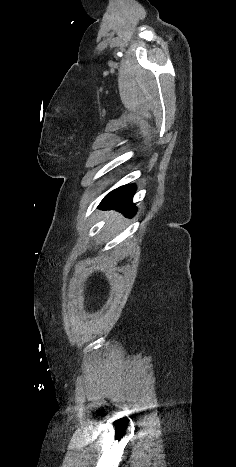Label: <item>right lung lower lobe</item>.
I'll return each instance as SVG.
<instances>
[{"instance_id": "right-lung-lower-lobe-1", "label": "right lung lower lobe", "mask_w": 236, "mask_h": 467, "mask_svg": "<svg viewBox=\"0 0 236 467\" xmlns=\"http://www.w3.org/2000/svg\"><path fill=\"white\" fill-rule=\"evenodd\" d=\"M135 185H124L110 192L100 203L101 209H117L122 211L127 217H132L137 208L132 203L135 193Z\"/></svg>"}]
</instances>
